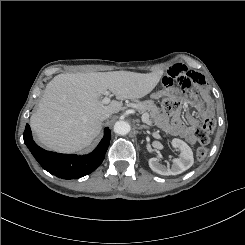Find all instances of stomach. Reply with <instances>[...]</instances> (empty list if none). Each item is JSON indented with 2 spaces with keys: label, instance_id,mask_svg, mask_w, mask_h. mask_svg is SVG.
Listing matches in <instances>:
<instances>
[{
  "label": "stomach",
  "instance_id": "obj_1",
  "mask_svg": "<svg viewBox=\"0 0 245 245\" xmlns=\"http://www.w3.org/2000/svg\"><path fill=\"white\" fill-rule=\"evenodd\" d=\"M163 96V92L162 91H158V92H155L151 95V98L153 99H159Z\"/></svg>",
  "mask_w": 245,
  "mask_h": 245
}]
</instances>
